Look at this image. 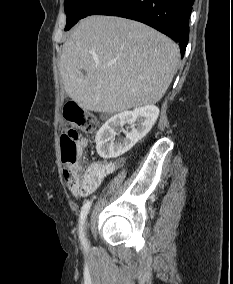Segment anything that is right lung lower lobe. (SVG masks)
I'll list each match as a JSON object with an SVG mask.
<instances>
[{
	"label": "right lung lower lobe",
	"mask_w": 233,
	"mask_h": 284,
	"mask_svg": "<svg viewBox=\"0 0 233 284\" xmlns=\"http://www.w3.org/2000/svg\"><path fill=\"white\" fill-rule=\"evenodd\" d=\"M194 0H107L91 15H111L143 22L179 43L184 56Z\"/></svg>",
	"instance_id": "98d812e1"
}]
</instances>
